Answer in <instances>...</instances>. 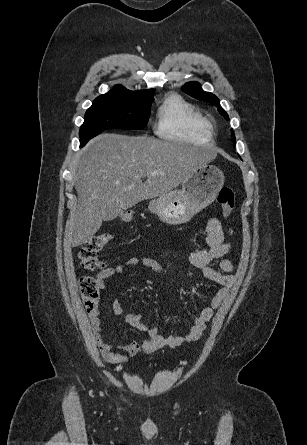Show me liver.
I'll return each mask as SVG.
<instances>
[{"instance_id": "obj_1", "label": "liver", "mask_w": 307, "mask_h": 445, "mask_svg": "<svg viewBox=\"0 0 307 445\" xmlns=\"http://www.w3.org/2000/svg\"><path fill=\"white\" fill-rule=\"evenodd\" d=\"M215 158L200 146L143 136L103 132L81 152L76 168L78 202L66 227L65 243L84 245L105 218H116L145 198L182 184L194 168ZM161 170L164 174H149ZM142 176H147L142 182Z\"/></svg>"}]
</instances>
